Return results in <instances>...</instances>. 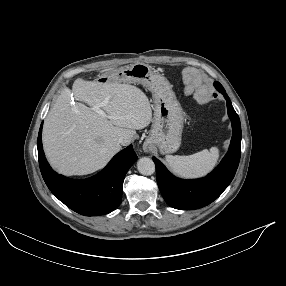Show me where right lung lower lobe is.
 <instances>
[{"label": "right lung lower lobe", "mask_w": 286, "mask_h": 286, "mask_svg": "<svg viewBox=\"0 0 286 286\" xmlns=\"http://www.w3.org/2000/svg\"><path fill=\"white\" fill-rule=\"evenodd\" d=\"M41 124L38 134V158L43 179L49 190L73 211L84 215H104L117 208L122 201L124 177L137 160L132 145L116 154L99 174L74 180L57 174L48 164L42 147Z\"/></svg>", "instance_id": "98d812e1"}]
</instances>
